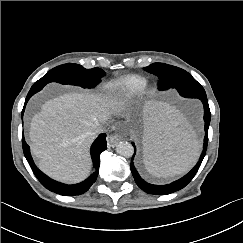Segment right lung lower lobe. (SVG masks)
Returning <instances> with one entry per match:
<instances>
[{
    "label": "right lung lower lobe",
    "mask_w": 243,
    "mask_h": 243,
    "mask_svg": "<svg viewBox=\"0 0 243 243\" xmlns=\"http://www.w3.org/2000/svg\"><path fill=\"white\" fill-rule=\"evenodd\" d=\"M44 86L43 85H33L26 97L25 104L23 107V111L25 110L26 103L28 100L33 96L35 93L40 91ZM106 134H101L98 136V138L94 141V143L91 146V158L93 161V165L96 169V171L90 175L89 178H87L85 181L74 184V185H66L60 182H57L51 178H49L47 175L42 173L34 164L33 159L30 154V149L27 143L24 140V137L22 138V146H23V152L24 155L33 171L37 179L40 181V183L47 188L48 190L55 192L60 195L65 196H73V195H80L84 192H86L91 185L95 182L97 176H98V170H99V163H100V154L107 148V142H106Z\"/></svg>",
    "instance_id": "obj_1"
}]
</instances>
